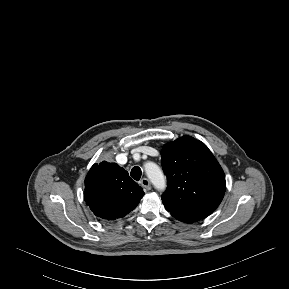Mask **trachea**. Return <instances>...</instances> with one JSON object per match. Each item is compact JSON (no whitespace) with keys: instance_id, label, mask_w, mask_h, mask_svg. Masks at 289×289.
<instances>
[{"instance_id":"obj_1","label":"trachea","mask_w":289,"mask_h":289,"mask_svg":"<svg viewBox=\"0 0 289 289\" xmlns=\"http://www.w3.org/2000/svg\"><path fill=\"white\" fill-rule=\"evenodd\" d=\"M130 175L134 180L139 181L142 175V171L138 166H135L132 168Z\"/></svg>"}]
</instances>
